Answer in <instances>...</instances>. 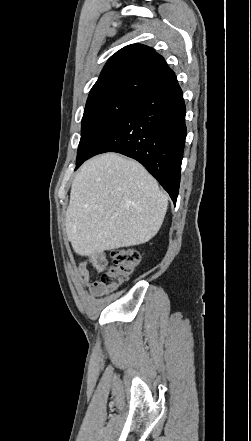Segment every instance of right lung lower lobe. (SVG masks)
<instances>
[{"label": "right lung lower lobe", "mask_w": 251, "mask_h": 441, "mask_svg": "<svg viewBox=\"0 0 251 441\" xmlns=\"http://www.w3.org/2000/svg\"><path fill=\"white\" fill-rule=\"evenodd\" d=\"M185 113L183 93L173 75L140 97L95 145L87 159L117 152L137 160L176 204L186 137Z\"/></svg>", "instance_id": "1"}]
</instances>
